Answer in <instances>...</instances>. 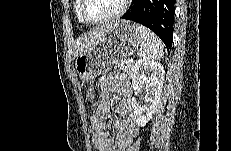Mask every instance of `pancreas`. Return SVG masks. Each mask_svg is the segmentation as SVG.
Masks as SVG:
<instances>
[{
  "label": "pancreas",
  "mask_w": 231,
  "mask_h": 151,
  "mask_svg": "<svg viewBox=\"0 0 231 151\" xmlns=\"http://www.w3.org/2000/svg\"><path fill=\"white\" fill-rule=\"evenodd\" d=\"M116 66H117L120 70H122V71H124V72H126V73H128V74H131V72H132V70H133V68H134L132 62H131V63H125L124 59H121V60H119L118 62H116Z\"/></svg>",
  "instance_id": "pancreas-1"
}]
</instances>
